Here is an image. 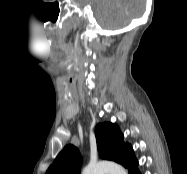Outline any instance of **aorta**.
Masks as SVG:
<instances>
[{"instance_id": "obj_1", "label": "aorta", "mask_w": 187, "mask_h": 174, "mask_svg": "<svg viewBox=\"0 0 187 174\" xmlns=\"http://www.w3.org/2000/svg\"><path fill=\"white\" fill-rule=\"evenodd\" d=\"M81 174H127L126 170L117 163L103 161L98 163H90Z\"/></svg>"}]
</instances>
